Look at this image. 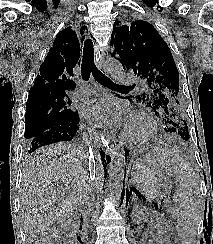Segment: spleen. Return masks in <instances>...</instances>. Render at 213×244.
<instances>
[{
    "label": "spleen",
    "mask_w": 213,
    "mask_h": 244,
    "mask_svg": "<svg viewBox=\"0 0 213 244\" xmlns=\"http://www.w3.org/2000/svg\"><path fill=\"white\" fill-rule=\"evenodd\" d=\"M158 164L168 176L176 179L174 219L182 244H194L197 227L202 219V204L198 178L191 165L179 155L159 149Z\"/></svg>",
    "instance_id": "spleen-1"
}]
</instances>
